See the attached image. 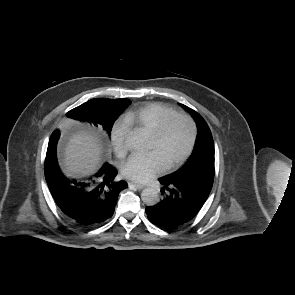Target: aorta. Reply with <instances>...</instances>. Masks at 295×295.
<instances>
[{
  "instance_id": "aorta-1",
  "label": "aorta",
  "mask_w": 295,
  "mask_h": 295,
  "mask_svg": "<svg viewBox=\"0 0 295 295\" xmlns=\"http://www.w3.org/2000/svg\"><path fill=\"white\" fill-rule=\"evenodd\" d=\"M127 147L135 150H141L146 145L145 138L139 133H132L126 139ZM142 201L148 205L153 206L159 202V194L155 188H145L141 192Z\"/></svg>"
}]
</instances>
